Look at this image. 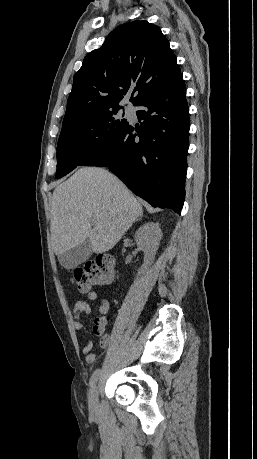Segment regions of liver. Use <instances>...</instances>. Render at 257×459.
Segmentation results:
<instances>
[{"label": "liver", "mask_w": 257, "mask_h": 459, "mask_svg": "<svg viewBox=\"0 0 257 459\" xmlns=\"http://www.w3.org/2000/svg\"><path fill=\"white\" fill-rule=\"evenodd\" d=\"M142 214L141 204L116 176L99 167L80 168L53 192V250L59 256L89 240L93 252H106Z\"/></svg>", "instance_id": "obj_1"}]
</instances>
